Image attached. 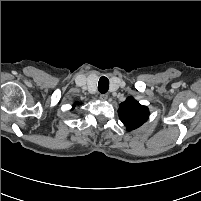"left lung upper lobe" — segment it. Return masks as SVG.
Wrapping results in <instances>:
<instances>
[{
  "instance_id": "1",
  "label": "left lung upper lobe",
  "mask_w": 201,
  "mask_h": 201,
  "mask_svg": "<svg viewBox=\"0 0 201 201\" xmlns=\"http://www.w3.org/2000/svg\"><path fill=\"white\" fill-rule=\"evenodd\" d=\"M118 114L127 130L131 131L147 121L149 110L147 106H143L134 98L128 97L119 105Z\"/></svg>"
}]
</instances>
